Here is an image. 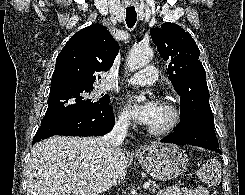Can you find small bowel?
<instances>
[{
    "instance_id": "c3829d8e",
    "label": "small bowel",
    "mask_w": 245,
    "mask_h": 195,
    "mask_svg": "<svg viewBox=\"0 0 245 195\" xmlns=\"http://www.w3.org/2000/svg\"><path fill=\"white\" fill-rule=\"evenodd\" d=\"M158 195H208V190L203 186L194 188L167 187L159 191Z\"/></svg>"
}]
</instances>
